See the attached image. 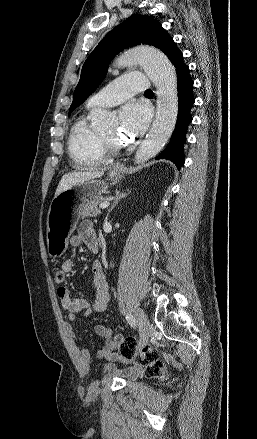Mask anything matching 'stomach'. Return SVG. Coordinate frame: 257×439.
Returning a JSON list of instances; mask_svg holds the SVG:
<instances>
[{
  "label": "stomach",
  "mask_w": 257,
  "mask_h": 439,
  "mask_svg": "<svg viewBox=\"0 0 257 439\" xmlns=\"http://www.w3.org/2000/svg\"><path fill=\"white\" fill-rule=\"evenodd\" d=\"M120 172L110 171L109 178L118 182ZM101 180H89L70 186L52 200L47 215V249L50 257L62 256L68 248V238L74 231L82 207L91 198L107 191Z\"/></svg>",
  "instance_id": "1"
}]
</instances>
